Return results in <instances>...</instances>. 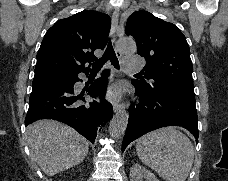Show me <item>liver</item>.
<instances>
[{
    "mask_svg": "<svg viewBox=\"0 0 228 181\" xmlns=\"http://www.w3.org/2000/svg\"><path fill=\"white\" fill-rule=\"evenodd\" d=\"M26 135L30 157L47 177L79 165L89 151L82 135L57 121H36L28 125Z\"/></svg>",
    "mask_w": 228,
    "mask_h": 181,
    "instance_id": "1",
    "label": "liver"
}]
</instances>
